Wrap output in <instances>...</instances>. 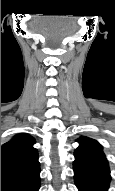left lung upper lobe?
Listing matches in <instances>:
<instances>
[{
  "instance_id": "left-lung-upper-lobe-1",
  "label": "left lung upper lobe",
  "mask_w": 115,
  "mask_h": 191,
  "mask_svg": "<svg viewBox=\"0 0 115 191\" xmlns=\"http://www.w3.org/2000/svg\"><path fill=\"white\" fill-rule=\"evenodd\" d=\"M77 141L80 145L75 150V161L94 162L109 167L106 156L102 151V146L97 141L85 136L77 139Z\"/></svg>"
}]
</instances>
